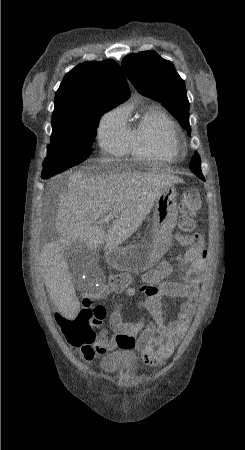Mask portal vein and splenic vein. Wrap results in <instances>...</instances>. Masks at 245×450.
Here are the masks:
<instances>
[{
	"mask_svg": "<svg viewBox=\"0 0 245 450\" xmlns=\"http://www.w3.org/2000/svg\"><path fill=\"white\" fill-rule=\"evenodd\" d=\"M112 218H113V214L110 213V214H108L105 218L101 219L100 222H101V223H105V222H107L108 220H110V219H112Z\"/></svg>",
	"mask_w": 245,
	"mask_h": 450,
	"instance_id": "obj_1",
	"label": "portal vein and splenic vein"
}]
</instances>
